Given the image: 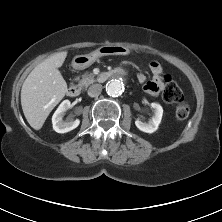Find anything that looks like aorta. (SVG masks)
<instances>
[{"label":"aorta","instance_id":"762f6f07","mask_svg":"<svg viewBox=\"0 0 222 222\" xmlns=\"http://www.w3.org/2000/svg\"><path fill=\"white\" fill-rule=\"evenodd\" d=\"M124 91V78L116 77L106 84V92L110 96H119Z\"/></svg>","mask_w":222,"mask_h":222}]
</instances>
